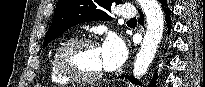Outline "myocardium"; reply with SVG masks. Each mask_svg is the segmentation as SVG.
Wrapping results in <instances>:
<instances>
[{
    "label": "myocardium",
    "mask_w": 205,
    "mask_h": 87,
    "mask_svg": "<svg viewBox=\"0 0 205 87\" xmlns=\"http://www.w3.org/2000/svg\"><path fill=\"white\" fill-rule=\"evenodd\" d=\"M82 45L99 47V43L95 39L90 37H79V38H73L67 40L57 49L55 53V57H54L55 67L61 76H63L64 78L70 81L80 82V83H93L99 80L103 76L104 69H101L98 73L94 75H82L77 73L75 70L69 68L65 64L66 54L71 49Z\"/></svg>",
    "instance_id": "myocardium-1"
}]
</instances>
